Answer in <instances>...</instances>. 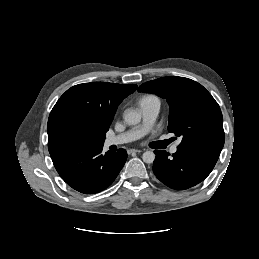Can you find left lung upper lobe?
Returning <instances> with one entry per match:
<instances>
[{
    "label": "left lung upper lobe",
    "instance_id": "5c2ea615",
    "mask_svg": "<svg viewBox=\"0 0 259 259\" xmlns=\"http://www.w3.org/2000/svg\"><path fill=\"white\" fill-rule=\"evenodd\" d=\"M138 91L152 92L168 102V131L182 137L178 148L209 145L223 148L225 134L218 103L199 83L184 77H163L142 84Z\"/></svg>",
    "mask_w": 259,
    "mask_h": 259
}]
</instances>
